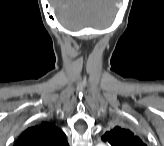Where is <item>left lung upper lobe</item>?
<instances>
[{
	"mask_svg": "<svg viewBox=\"0 0 164 146\" xmlns=\"http://www.w3.org/2000/svg\"><path fill=\"white\" fill-rule=\"evenodd\" d=\"M102 140L112 146H144L142 140L128 129L115 127L107 131Z\"/></svg>",
	"mask_w": 164,
	"mask_h": 146,
	"instance_id": "left-lung-upper-lobe-1",
	"label": "left lung upper lobe"
}]
</instances>
